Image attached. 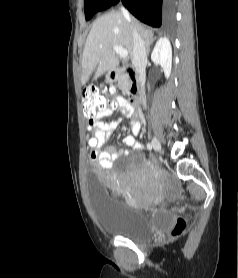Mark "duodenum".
I'll return each instance as SVG.
<instances>
[{"label": "duodenum", "mask_w": 238, "mask_h": 278, "mask_svg": "<svg viewBox=\"0 0 238 278\" xmlns=\"http://www.w3.org/2000/svg\"><path fill=\"white\" fill-rule=\"evenodd\" d=\"M123 75H127L130 79V86L128 89V96L131 102L135 100L138 86L136 81V73L133 68L131 67H119L114 68L109 72V78L111 81H117Z\"/></svg>", "instance_id": "obj_1"}]
</instances>
